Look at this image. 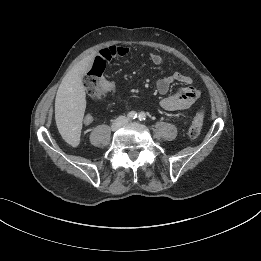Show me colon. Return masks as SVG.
<instances>
[{
    "label": "colon",
    "instance_id": "5ec220e1",
    "mask_svg": "<svg viewBox=\"0 0 261 261\" xmlns=\"http://www.w3.org/2000/svg\"><path fill=\"white\" fill-rule=\"evenodd\" d=\"M105 64L101 60H95L90 71L85 78V88L90 98L96 99L108 93V88L103 78ZM204 119V109L199 108L196 111L194 120L188 128V136L196 138L201 132Z\"/></svg>",
    "mask_w": 261,
    "mask_h": 261
}]
</instances>
